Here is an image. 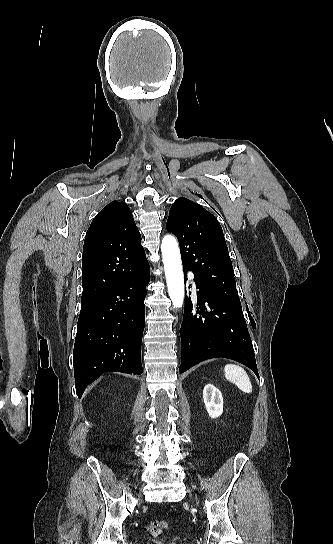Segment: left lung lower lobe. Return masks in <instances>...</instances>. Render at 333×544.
I'll return each instance as SVG.
<instances>
[{
  "label": "left lung lower lobe",
  "instance_id": "1",
  "mask_svg": "<svg viewBox=\"0 0 333 544\" xmlns=\"http://www.w3.org/2000/svg\"><path fill=\"white\" fill-rule=\"evenodd\" d=\"M187 270L184 268L185 278ZM194 281L198 289L197 305L191 297L185 296L180 330V373L203 360L224 357L246 365L259 378L242 309L224 301L195 277ZM251 323L254 328V323Z\"/></svg>",
  "mask_w": 333,
  "mask_h": 544
}]
</instances>
